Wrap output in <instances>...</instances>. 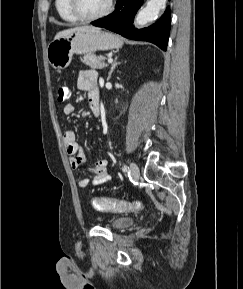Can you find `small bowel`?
Masks as SVG:
<instances>
[{"mask_svg":"<svg viewBox=\"0 0 243 289\" xmlns=\"http://www.w3.org/2000/svg\"><path fill=\"white\" fill-rule=\"evenodd\" d=\"M77 86L80 90L86 91L89 96L90 111L94 116L100 114L99 100L95 98L96 91H99L98 75L95 70L85 69L81 70L78 75ZM64 114L67 116L73 115L75 106L67 104L64 109ZM63 141L67 154L69 155L70 165L73 169H78L82 166L85 160L84 150L76 140L75 132L72 130L65 131ZM88 171L92 173L93 178L87 177L78 180L80 188H87L88 186H97L111 180L108 173V162L105 159L98 160L93 167Z\"/></svg>","mask_w":243,"mask_h":289,"instance_id":"1","label":"small bowel"}]
</instances>
